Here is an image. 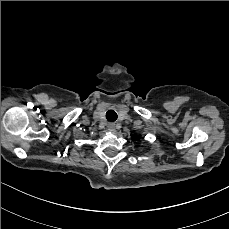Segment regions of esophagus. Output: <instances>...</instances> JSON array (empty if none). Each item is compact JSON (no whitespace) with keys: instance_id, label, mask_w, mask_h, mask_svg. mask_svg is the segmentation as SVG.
Masks as SVG:
<instances>
[{"instance_id":"obj_1","label":"esophagus","mask_w":229,"mask_h":229,"mask_svg":"<svg viewBox=\"0 0 229 229\" xmlns=\"http://www.w3.org/2000/svg\"><path fill=\"white\" fill-rule=\"evenodd\" d=\"M108 130L111 132H115V130H116L115 124H113V123L108 124Z\"/></svg>"}]
</instances>
